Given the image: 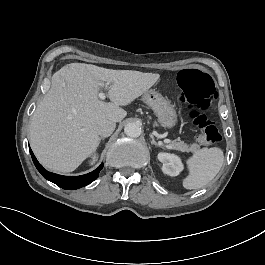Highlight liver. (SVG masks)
I'll use <instances>...</instances> for the list:
<instances>
[{
    "mask_svg": "<svg viewBox=\"0 0 265 265\" xmlns=\"http://www.w3.org/2000/svg\"><path fill=\"white\" fill-rule=\"evenodd\" d=\"M159 74L112 70L71 63L53 74L52 84L36 108L30 124V145L48 170L69 173L94 153L100 143L101 120L120 122L127 105L151 88ZM101 81L111 84V102L99 100Z\"/></svg>",
    "mask_w": 265,
    "mask_h": 265,
    "instance_id": "6515ba94",
    "label": "liver"
}]
</instances>
